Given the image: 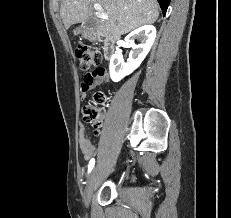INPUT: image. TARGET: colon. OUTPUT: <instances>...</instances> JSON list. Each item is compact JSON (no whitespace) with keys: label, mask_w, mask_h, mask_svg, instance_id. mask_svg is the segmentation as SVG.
Returning a JSON list of instances; mask_svg holds the SVG:
<instances>
[{"label":"colon","mask_w":231,"mask_h":218,"mask_svg":"<svg viewBox=\"0 0 231 218\" xmlns=\"http://www.w3.org/2000/svg\"><path fill=\"white\" fill-rule=\"evenodd\" d=\"M75 56L79 62L81 70L96 68L102 61L101 52L89 45L81 44L75 48ZM98 69V68H97ZM106 102V96L103 92H95L90 104L83 109L84 120L98 133L102 118V108Z\"/></svg>","instance_id":"obj_1"}]
</instances>
